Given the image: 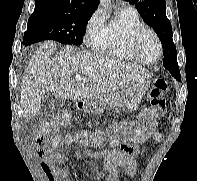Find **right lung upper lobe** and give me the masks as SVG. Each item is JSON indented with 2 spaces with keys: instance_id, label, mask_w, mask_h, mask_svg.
<instances>
[{
  "instance_id": "right-lung-upper-lobe-1",
  "label": "right lung upper lobe",
  "mask_w": 197,
  "mask_h": 181,
  "mask_svg": "<svg viewBox=\"0 0 197 181\" xmlns=\"http://www.w3.org/2000/svg\"><path fill=\"white\" fill-rule=\"evenodd\" d=\"M99 0H36L34 11H51L65 14L93 13Z\"/></svg>"
}]
</instances>
